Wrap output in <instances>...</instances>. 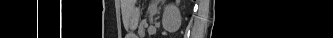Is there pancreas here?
Listing matches in <instances>:
<instances>
[{"mask_svg":"<svg viewBox=\"0 0 333 38\" xmlns=\"http://www.w3.org/2000/svg\"><path fill=\"white\" fill-rule=\"evenodd\" d=\"M145 27H144V23H142L141 25H140V27H139V31H140V33L141 34H143L144 32H145V29H144Z\"/></svg>","mask_w":333,"mask_h":38,"instance_id":"cf45deb5","label":"pancreas"}]
</instances>
